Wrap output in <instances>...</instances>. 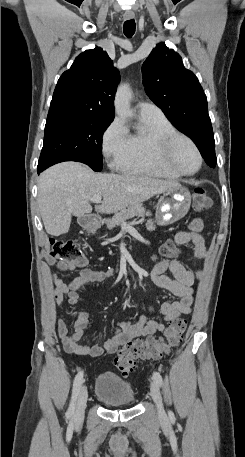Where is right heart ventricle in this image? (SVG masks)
<instances>
[{
  "instance_id": "right-heart-ventricle-1",
  "label": "right heart ventricle",
  "mask_w": 245,
  "mask_h": 457,
  "mask_svg": "<svg viewBox=\"0 0 245 457\" xmlns=\"http://www.w3.org/2000/svg\"><path fill=\"white\" fill-rule=\"evenodd\" d=\"M140 130L129 133L128 143L121 153L114 156V164L118 167L156 176L175 178L176 175L156 167L146 155L145 141L149 134L167 135L177 132L174 125L163 115L142 117ZM165 151H162V155Z\"/></svg>"
}]
</instances>
